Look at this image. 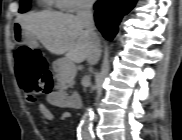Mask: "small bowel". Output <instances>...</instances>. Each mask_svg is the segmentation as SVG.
<instances>
[{"instance_id":"c3829d8e","label":"small bowel","mask_w":182,"mask_h":140,"mask_svg":"<svg viewBox=\"0 0 182 140\" xmlns=\"http://www.w3.org/2000/svg\"><path fill=\"white\" fill-rule=\"evenodd\" d=\"M38 110L45 120H52L53 119V114L46 105H43V104L39 105Z\"/></svg>"}]
</instances>
